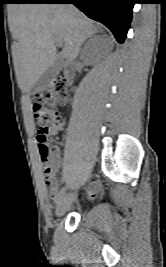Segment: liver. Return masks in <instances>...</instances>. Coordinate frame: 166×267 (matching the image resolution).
Instances as JSON below:
<instances>
[{"label":"liver","mask_w":166,"mask_h":267,"mask_svg":"<svg viewBox=\"0 0 166 267\" xmlns=\"http://www.w3.org/2000/svg\"><path fill=\"white\" fill-rule=\"evenodd\" d=\"M98 32L93 21L72 4H23L17 9L13 33L15 71L21 90H30L56 60L54 36L62 38V58H77L82 43Z\"/></svg>","instance_id":"6515ba94"}]
</instances>
